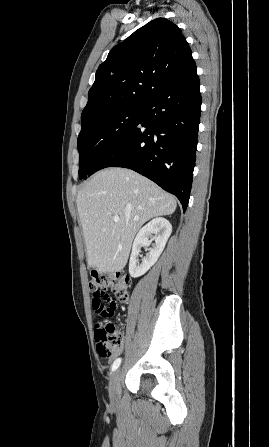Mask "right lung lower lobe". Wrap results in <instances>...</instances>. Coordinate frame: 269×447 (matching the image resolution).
I'll return each mask as SVG.
<instances>
[{"mask_svg":"<svg viewBox=\"0 0 269 447\" xmlns=\"http://www.w3.org/2000/svg\"><path fill=\"white\" fill-rule=\"evenodd\" d=\"M199 86L193 62L179 78L143 102L139 124L87 176L106 167L132 169L174 194L185 210L196 159L202 102Z\"/></svg>","mask_w":269,"mask_h":447,"instance_id":"right-lung-lower-lobe-1","label":"right lung lower lobe"}]
</instances>
